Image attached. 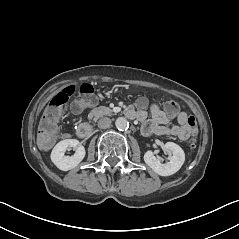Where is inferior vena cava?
<instances>
[{"mask_svg": "<svg viewBox=\"0 0 239 239\" xmlns=\"http://www.w3.org/2000/svg\"><path fill=\"white\" fill-rule=\"evenodd\" d=\"M111 125V119L110 118H102L98 121V127L101 129H107Z\"/></svg>", "mask_w": 239, "mask_h": 239, "instance_id": "602c4592", "label": "inferior vena cava"}]
</instances>
